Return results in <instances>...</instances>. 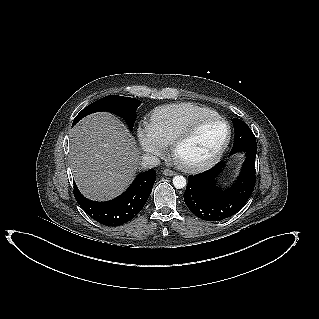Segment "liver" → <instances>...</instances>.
I'll list each match as a JSON object with an SVG mask.
<instances>
[{"label":"liver","mask_w":319,"mask_h":319,"mask_svg":"<svg viewBox=\"0 0 319 319\" xmlns=\"http://www.w3.org/2000/svg\"><path fill=\"white\" fill-rule=\"evenodd\" d=\"M69 160L77 187L91 200L115 198L139 168V150L124 123L108 112L86 116L70 131Z\"/></svg>","instance_id":"liver-1"}]
</instances>
